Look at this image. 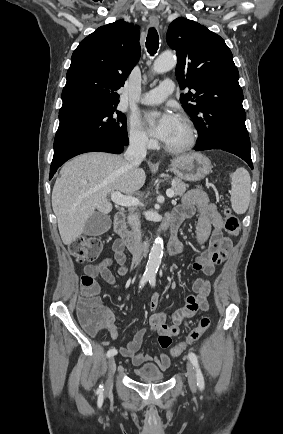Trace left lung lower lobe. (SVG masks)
<instances>
[{"label":"left lung lower lobe","instance_id":"left-lung-lower-lobe-1","mask_svg":"<svg viewBox=\"0 0 283 434\" xmlns=\"http://www.w3.org/2000/svg\"><path fill=\"white\" fill-rule=\"evenodd\" d=\"M208 149H220V150H224V151L230 152L232 154H235L238 157H240L241 159H243L250 166V168L253 169V164H252L250 152H246V151H243L241 149L231 148V147L209 148V147L197 146L195 150L196 151H202V150H208Z\"/></svg>","mask_w":283,"mask_h":434}]
</instances>
